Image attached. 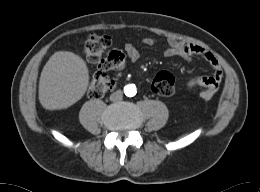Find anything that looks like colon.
Segmentation results:
<instances>
[{"label": "colon", "instance_id": "1", "mask_svg": "<svg viewBox=\"0 0 260 192\" xmlns=\"http://www.w3.org/2000/svg\"><path fill=\"white\" fill-rule=\"evenodd\" d=\"M110 45L111 40L108 36L91 34L83 46L87 60L98 67V72L88 88V95L93 99L101 98L114 87V81L107 75V72L121 70L125 65L124 54L120 51L105 53ZM150 88L156 95L171 96L175 93V79L171 73L161 71L152 80Z\"/></svg>", "mask_w": 260, "mask_h": 192}]
</instances>
